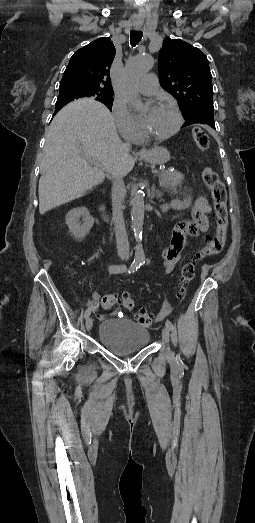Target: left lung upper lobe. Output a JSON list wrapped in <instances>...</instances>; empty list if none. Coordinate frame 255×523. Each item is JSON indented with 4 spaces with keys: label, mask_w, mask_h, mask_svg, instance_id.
Here are the masks:
<instances>
[{
    "label": "left lung upper lobe",
    "mask_w": 255,
    "mask_h": 523,
    "mask_svg": "<svg viewBox=\"0 0 255 523\" xmlns=\"http://www.w3.org/2000/svg\"><path fill=\"white\" fill-rule=\"evenodd\" d=\"M158 72L163 89L178 100L186 117L183 127L201 123L215 129L212 75L207 57L196 47L166 38L159 51Z\"/></svg>",
    "instance_id": "obj_1"
}]
</instances>
